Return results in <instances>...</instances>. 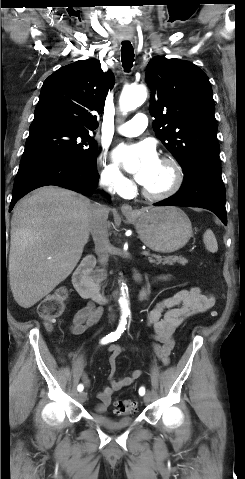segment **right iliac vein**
<instances>
[{
    "instance_id": "1",
    "label": "right iliac vein",
    "mask_w": 245,
    "mask_h": 479,
    "mask_svg": "<svg viewBox=\"0 0 245 479\" xmlns=\"http://www.w3.org/2000/svg\"><path fill=\"white\" fill-rule=\"evenodd\" d=\"M77 397L80 402H84L86 400L87 395L85 392H80L78 393Z\"/></svg>"
}]
</instances>
